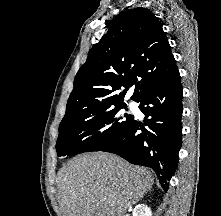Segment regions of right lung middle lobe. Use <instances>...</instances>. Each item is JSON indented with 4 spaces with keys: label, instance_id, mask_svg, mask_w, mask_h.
<instances>
[{
    "label": "right lung middle lobe",
    "instance_id": "right-lung-middle-lobe-1",
    "mask_svg": "<svg viewBox=\"0 0 221 216\" xmlns=\"http://www.w3.org/2000/svg\"><path fill=\"white\" fill-rule=\"evenodd\" d=\"M126 104L108 106L86 112L75 120H62L56 143L58 156L100 151L124 131L134 120L123 114Z\"/></svg>",
    "mask_w": 221,
    "mask_h": 216
}]
</instances>
